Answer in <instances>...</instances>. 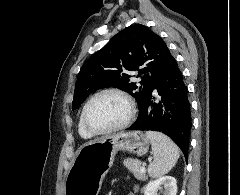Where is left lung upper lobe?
<instances>
[{
  "mask_svg": "<svg viewBox=\"0 0 240 195\" xmlns=\"http://www.w3.org/2000/svg\"><path fill=\"white\" fill-rule=\"evenodd\" d=\"M171 58L165 42L146 26L134 24L125 28L82 66L72 109L79 107L94 91L116 87L136 99L140 112L150 87ZM134 71L139 72L135 76L141 78L139 84L131 81Z\"/></svg>",
  "mask_w": 240,
  "mask_h": 195,
  "instance_id": "5c2ea615",
  "label": "left lung upper lobe"
}]
</instances>
